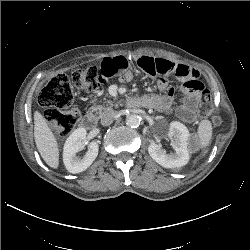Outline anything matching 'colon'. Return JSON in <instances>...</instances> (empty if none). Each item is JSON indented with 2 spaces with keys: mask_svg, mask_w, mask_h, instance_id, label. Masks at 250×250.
<instances>
[{
  "mask_svg": "<svg viewBox=\"0 0 250 250\" xmlns=\"http://www.w3.org/2000/svg\"><path fill=\"white\" fill-rule=\"evenodd\" d=\"M105 81V76L96 67H87L73 72L71 78L59 74L42 89L38 102L46 109V119L56 135L65 136L71 133L79 119V110L74 106L73 86L84 91L94 92ZM199 112L210 115L214 125H220L221 117L213 112V101L210 92L202 89L199 93Z\"/></svg>",
  "mask_w": 250,
  "mask_h": 250,
  "instance_id": "colon-1",
  "label": "colon"
}]
</instances>
